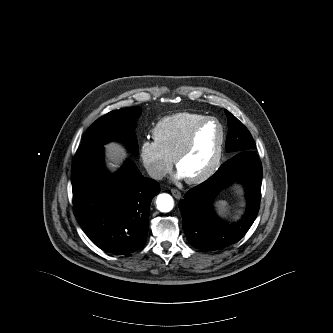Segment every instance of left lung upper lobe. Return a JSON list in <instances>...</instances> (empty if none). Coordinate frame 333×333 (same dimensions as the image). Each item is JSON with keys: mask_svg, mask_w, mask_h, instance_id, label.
Listing matches in <instances>:
<instances>
[{"mask_svg": "<svg viewBox=\"0 0 333 333\" xmlns=\"http://www.w3.org/2000/svg\"><path fill=\"white\" fill-rule=\"evenodd\" d=\"M225 113L229 127L226 150L233 153L253 150L255 143L247 128L229 111L225 110Z\"/></svg>", "mask_w": 333, "mask_h": 333, "instance_id": "5c2ea615", "label": "left lung upper lobe"}]
</instances>
